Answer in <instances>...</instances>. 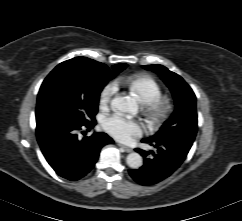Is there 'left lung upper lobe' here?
<instances>
[{
  "mask_svg": "<svg viewBox=\"0 0 242 221\" xmlns=\"http://www.w3.org/2000/svg\"><path fill=\"white\" fill-rule=\"evenodd\" d=\"M143 67L159 73L170 88L175 100L173 114L155 135L146 140L181 139L193 142L197 133L196 96L194 92L179 75L162 65H146Z\"/></svg>",
  "mask_w": 242,
  "mask_h": 221,
  "instance_id": "obj_1",
  "label": "left lung upper lobe"
}]
</instances>
